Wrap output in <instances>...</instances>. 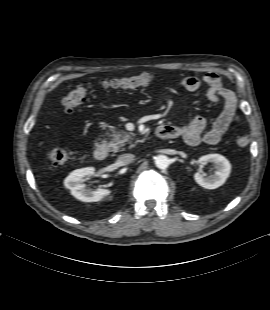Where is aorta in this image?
<instances>
[{"mask_svg": "<svg viewBox=\"0 0 270 310\" xmlns=\"http://www.w3.org/2000/svg\"><path fill=\"white\" fill-rule=\"evenodd\" d=\"M155 164H156L157 168H159V169H166L169 166L170 161H169V158L167 156L158 155L155 158Z\"/></svg>", "mask_w": 270, "mask_h": 310, "instance_id": "762f6f07", "label": "aorta"}]
</instances>
